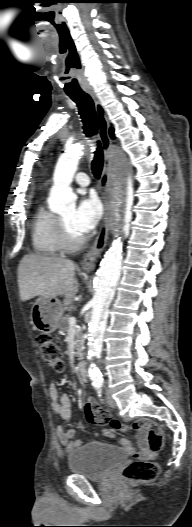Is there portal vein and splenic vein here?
I'll return each instance as SVG.
<instances>
[{
    "mask_svg": "<svg viewBox=\"0 0 192 527\" xmlns=\"http://www.w3.org/2000/svg\"><path fill=\"white\" fill-rule=\"evenodd\" d=\"M69 325L70 326H75L76 325V318L75 317H70L69 318Z\"/></svg>",
    "mask_w": 192,
    "mask_h": 527,
    "instance_id": "portal-vein-and-splenic-vein-1",
    "label": "portal vein and splenic vein"
}]
</instances>
